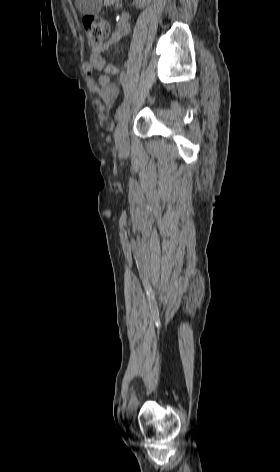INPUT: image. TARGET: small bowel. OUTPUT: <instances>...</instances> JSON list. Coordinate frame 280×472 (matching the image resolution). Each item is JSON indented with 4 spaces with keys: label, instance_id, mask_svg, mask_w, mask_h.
I'll return each mask as SVG.
<instances>
[{
    "label": "small bowel",
    "instance_id": "obj_1",
    "mask_svg": "<svg viewBox=\"0 0 280 472\" xmlns=\"http://www.w3.org/2000/svg\"><path fill=\"white\" fill-rule=\"evenodd\" d=\"M125 27L126 23L124 21L120 22L111 39L101 48L92 50L89 54V60L83 65V70L88 75V86L95 95V103L100 110H104L106 106L115 101L118 94V85L111 80V76L119 74V67L113 63H106L100 52L117 43ZM95 70H102L104 73L95 79L90 76Z\"/></svg>",
    "mask_w": 280,
    "mask_h": 472
}]
</instances>
